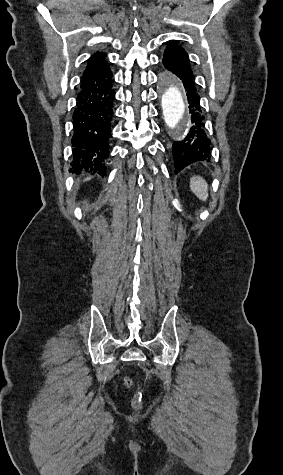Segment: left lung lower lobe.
<instances>
[{"instance_id": "obj_1", "label": "left lung lower lobe", "mask_w": 283, "mask_h": 475, "mask_svg": "<svg viewBox=\"0 0 283 475\" xmlns=\"http://www.w3.org/2000/svg\"><path fill=\"white\" fill-rule=\"evenodd\" d=\"M164 66L182 80L185 88L192 127L184 140L174 142L172 146L175 160V173L197 161H209L211 158V141L207 136L204 115L199 103L197 85L190 68V60L170 56L165 50L162 59Z\"/></svg>"}]
</instances>
